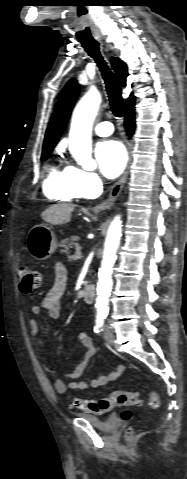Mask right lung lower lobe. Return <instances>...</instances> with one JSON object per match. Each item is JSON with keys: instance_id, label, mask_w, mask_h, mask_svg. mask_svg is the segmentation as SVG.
I'll return each mask as SVG.
<instances>
[{"instance_id": "1", "label": "right lung lower lobe", "mask_w": 187, "mask_h": 479, "mask_svg": "<svg viewBox=\"0 0 187 479\" xmlns=\"http://www.w3.org/2000/svg\"><path fill=\"white\" fill-rule=\"evenodd\" d=\"M134 106L126 109L125 114V128L129 135L133 134L135 128Z\"/></svg>"}]
</instances>
